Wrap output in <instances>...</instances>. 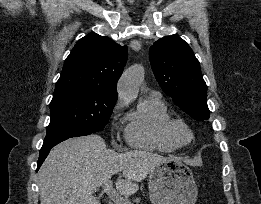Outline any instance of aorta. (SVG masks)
Listing matches in <instances>:
<instances>
[{"instance_id":"1","label":"aorta","mask_w":261,"mask_h":204,"mask_svg":"<svg viewBox=\"0 0 261 204\" xmlns=\"http://www.w3.org/2000/svg\"><path fill=\"white\" fill-rule=\"evenodd\" d=\"M144 69L141 65H133L124 71L119 85V96L125 100H133L137 97L139 86L142 82Z\"/></svg>"}]
</instances>
